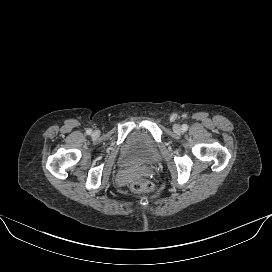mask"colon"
I'll use <instances>...</instances> for the list:
<instances>
[{
  "mask_svg": "<svg viewBox=\"0 0 272 272\" xmlns=\"http://www.w3.org/2000/svg\"><path fill=\"white\" fill-rule=\"evenodd\" d=\"M130 187L133 191L139 193H149L153 190L152 183L142 178L133 180Z\"/></svg>",
  "mask_w": 272,
  "mask_h": 272,
  "instance_id": "1",
  "label": "colon"
}]
</instances>
